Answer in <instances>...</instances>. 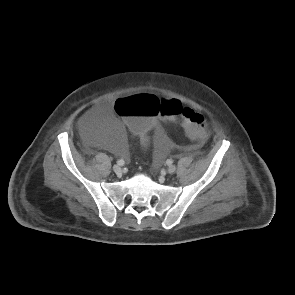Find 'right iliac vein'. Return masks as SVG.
Segmentation results:
<instances>
[{
	"label": "right iliac vein",
	"mask_w": 295,
	"mask_h": 295,
	"mask_svg": "<svg viewBox=\"0 0 295 295\" xmlns=\"http://www.w3.org/2000/svg\"><path fill=\"white\" fill-rule=\"evenodd\" d=\"M113 170L116 174H121L122 173V168L120 165H114Z\"/></svg>",
	"instance_id": "63e3f726"
}]
</instances>
